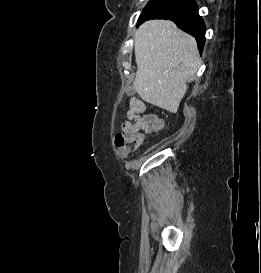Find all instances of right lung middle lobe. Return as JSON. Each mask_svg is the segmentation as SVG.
<instances>
[{"instance_id":"dd1d6c3e","label":"right lung middle lobe","mask_w":261,"mask_h":273,"mask_svg":"<svg viewBox=\"0 0 261 273\" xmlns=\"http://www.w3.org/2000/svg\"><path fill=\"white\" fill-rule=\"evenodd\" d=\"M167 2V0H151L148 2L138 19V23L144 18L160 15L167 10H171L172 8L168 5Z\"/></svg>"}]
</instances>
